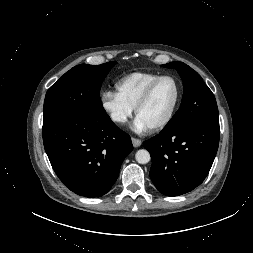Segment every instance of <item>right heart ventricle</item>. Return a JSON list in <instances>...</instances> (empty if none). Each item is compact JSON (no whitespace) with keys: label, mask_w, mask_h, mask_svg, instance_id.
I'll list each match as a JSON object with an SVG mask.
<instances>
[{"label":"right heart ventricle","mask_w":253,"mask_h":253,"mask_svg":"<svg viewBox=\"0 0 253 253\" xmlns=\"http://www.w3.org/2000/svg\"><path fill=\"white\" fill-rule=\"evenodd\" d=\"M160 76L153 72L130 73L116 82L115 93L133 109L146 88Z\"/></svg>","instance_id":"e07e8e85"}]
</instances>
